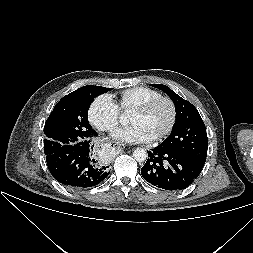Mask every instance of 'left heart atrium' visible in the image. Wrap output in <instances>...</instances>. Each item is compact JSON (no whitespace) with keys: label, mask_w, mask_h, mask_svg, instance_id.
<instances>
[{"label":"left heart atrium","mask_w":253,"mask_h":253,"mask_svg":"<svg viewBox=\"0 0 253 253\" xmlns=\"http://www.w3.org/2000/svg\"><path fill=\"white\" fill-rule=\"evenodd\" d=\"M114 137L125 143H144L153 140L152 135L139 124H132L118 130Z\"/></svg>","instance_id":"obj_1"}]
</instances>
